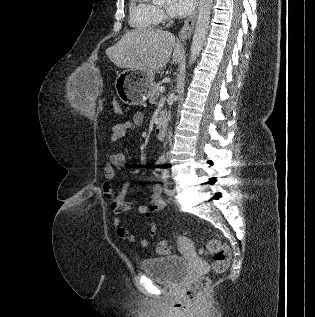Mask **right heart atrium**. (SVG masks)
<instances>
[{"instance_id": "right-heart-atrium-1", "label": "right heart atrium", "mask_w": 315, "mask_h": 317, "mask_svg": "<svg viewBox=\"0 0 315 317\" xmlns=\"http://www.w3.org/2000/svg\"><path fill=\"white\" fill-rule=\"evenodd\" d=\"M158 14H159L160 20L166 19V14L163 9L158 8Z\"/></svg>"}]
</instances>
